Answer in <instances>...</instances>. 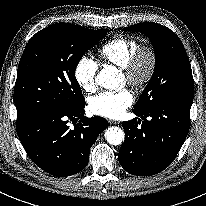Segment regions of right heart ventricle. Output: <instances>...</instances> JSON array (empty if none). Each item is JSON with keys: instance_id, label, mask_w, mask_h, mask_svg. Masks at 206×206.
Returning a JSON list of instances; mask_svg holds the SVG:
<instances>
[{"instance_id": "1", "label": "right heart ventricle", "mask_w": 206, "mask_h": 206, "mask_svg": "<svg viewBox=\"0 0 206 206\" xmlns=\"http://www.w3.org/2000/svg\"><path fill=\"white\" fill-rule=\"evenodd\" d=\"M138 45L139 41L136 38L115 37L104 43L98 53L104 62L122 69Z\"/></svg>"}]
</instances>
